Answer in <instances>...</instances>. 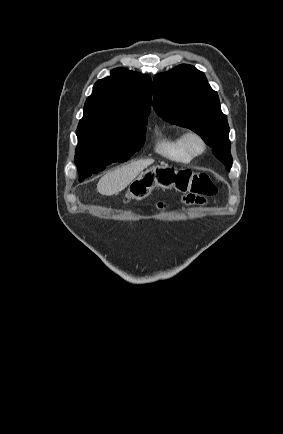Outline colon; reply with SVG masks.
<instances>
[{"instance_id": "obj_1", "label": "colon", "mask_w": 283, "mask_h": 434, "mask_svg": "<svg viewBox=\"0 0 283 434\" xmlns=\"http://www.w3.org/2000/svg\"><path fill=\"white\" fill-rule=\"evenodd\" d=\"M155 188H174L202 197L214 196L218 190L217 183L206 173L156 166L144 172L131 184L128 198L142 200Z\"/></svg>"}]
</instances>
